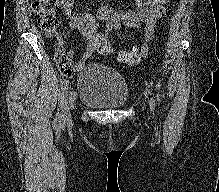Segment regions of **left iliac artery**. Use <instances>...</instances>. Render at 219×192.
Here are the masks:
<instances>
[{
	"label": "left iliac artery",
	"mask_w": 219,
	"mask_h": 192,
	"mask_svg": "<svg viewBox=\"0 0 219 192\" xmlns=\"http://www.w3.org/2000/svg\"><path fill=\"white\" fill-rule=\"evenodd\" d=\"M156 97H157L158 103L160 104V95H159V93H157Z\"/></svg>",
	"instance_id": "1"
}]
</instances>
